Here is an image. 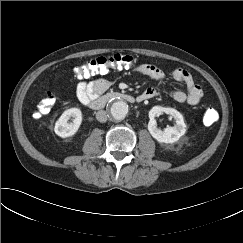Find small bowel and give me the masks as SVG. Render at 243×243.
Masks as SVG:
<instances>
[{
	"label": "small bowel",
	"instance_id": "obj_1",
	"mask_svg": "<svg viewBox=\"0 0 243 243\" xmlns=\"http://www.w3.org/2000/svg\"><path fill=\"white\" fill-rule=\"evenodd\" d=\"M134 72L147 75L156 81H163L166 78L164 71L152 64H140L134 68ZM170 76L173 80L186 87L185 91L177 90L171 93L175 101L190 105H196L201 101L203 91L201 87L195 83L193 77L187 70L175 68L170 72ZM110 84V81L105 78H97L91 81L81 80L76 85L75 95L80 103L88 105L93 99L105 92L110 87ZM157 95H159L157 89L147 88L139 96H141L144 101Z\"/></svg>",
	"mask_w": 243,
	"mask_h": 243
}]
</instances>
